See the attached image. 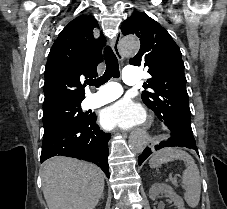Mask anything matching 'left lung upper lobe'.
<instances>
[{"mask_svg":"<svg viewBox=\"0 0 227 209\" xmlns=\"http://www.w3.org/2000/svg\"><path fill=\"white\" fill-rule=\"evenodd\" d=\"M121 31L135 34L141 47L130 64L148 68L152 76L143 87V102L167 124L192 134L191 112L181 51L170 34L145 13H134L126 19Z\"/></svg>","mask_w":227,"mask_h":209,"instance_id":"left-lung-upper-lobe-1","label":"left lung upper lobe"}]
</instances>
